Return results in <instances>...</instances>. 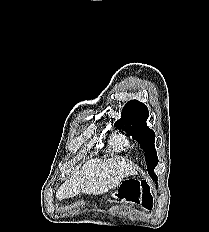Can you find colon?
<instances>
[{"instance_id": "obj_1", "label": "colon", "mask_w": 209, "mask_h": 232, "mask_svg": "<svg viewBox=\"0 0 209 232\" xmlns=\"http://www.w3.org/2000/svg\"><path fill=\"white\" fill-rule=\"evenodd\" d=\"M127 201L140 205L146 210H150L153 207L154 196L151 188V184L147 180L141 181H128L126 182L120 191ZM119 193H108V198H119Z\"/></svg>"}]
</instances>
